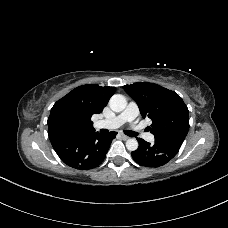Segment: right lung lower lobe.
<instances>
[{
	"label": "right lung lower lobe",
	"instance_id": "1",
	"mask_svg": "<svg viewBox=\"0 0 228 228\" xmlns=\"http://www.w3.org/2000/svg\"><path fill=\"white\" fill-rule=\"evenodd\" d=\"M116 132L101 135L94 132L86 136L64 137L51 142L60 159L70 167L88 170L104 160Z\"/></svg>",
	"mask_w": 228,
	"mask_h": 228
}]
</instances>
